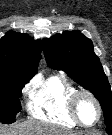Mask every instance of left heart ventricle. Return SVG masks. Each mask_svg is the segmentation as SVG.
<instances>
[{
	"mask_svg": "<svg viewBox=\"0 0 112 135\" xmlns=\"http://www.w3.org/2000/svg\"><path fill=\"white\" fill-rule=\"evenodd\" d=\"M78 113L81 120L86 124H92L96 121L98 112L93 101L87 96H81L78 99Z\"/></svg>",
	"mask_w": 112,
	"mask_h": 135,
	"instance_id": "obj_1",
	"label": "left heart ventricle"
}]
</instances>
